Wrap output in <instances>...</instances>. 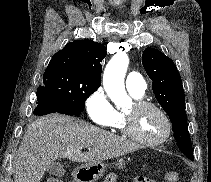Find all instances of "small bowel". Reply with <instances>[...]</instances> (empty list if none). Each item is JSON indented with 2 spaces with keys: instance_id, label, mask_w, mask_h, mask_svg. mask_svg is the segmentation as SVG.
<instances>
[{
  "instance_id": "c3829d8e",
  "label": "small bowel",
  "mask_w": 211,
  "mask_h": 182,
  "mask_svg": "<svg viewBox=\"0 0 211 182\" xmlns=\"http://www.w3.org/2000/svg\"><path fill=\"white\" fill-rule=\"evenodd\" d=\"M115 181H116V178H115V180L113 182H115ZM135 182H155V181L150 180L148 178H138V179H136Z\"/></svg>"
}]
</instances>
